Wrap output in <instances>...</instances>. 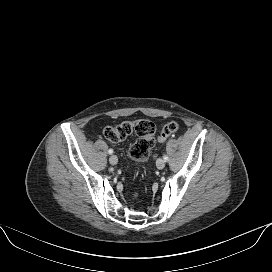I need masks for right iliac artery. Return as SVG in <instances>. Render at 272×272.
Here are the masks:
<instances>
[{"label":"right iliac artery","mask_w":272,"mask_h":272,"mask_svg":"<svg viewBox=\"0 0 272 272\" xmlns=\"http://www.w3.org/2000/svg\"><path fill=\"white\" fill-rule=\"evenodd\" d=\"M108 153H109V154H112V153H113V150H112V149H109V150H108Z\"/></svg>","instance_id":"obj_1"}]
</instances>
